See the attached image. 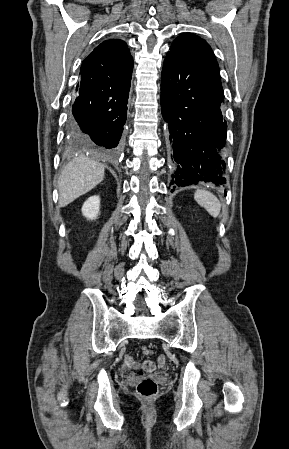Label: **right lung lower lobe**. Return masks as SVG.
Returning <instances> with one entry per match:
<instances>
[{
  "label": "right lung lower lobe",
  "mask_w": 289,
  "mask_h": 449,
  "mask_svg": "<svg viewBox=\"0 0 289 449\" xmlns=\"http://www.w3.org/2000/svg\"><path fill=\"white\" fill-rule=\"evenodd\" d=\"M132 67L101 77L81 76L69 127L75 136L113 154L121 144L127 118Z\"/></svg>",
  "instance_id": "1"
}]
</instances>
